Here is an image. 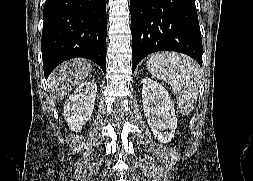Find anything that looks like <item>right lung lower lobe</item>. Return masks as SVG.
Segmentation results:
<instances>
[{
    "mask_svg": "<svg viewBox=\"0 0 253 181\" xmlns=\"http://www.w3.org/2000/svg\"><path fill=\"white\" fill-rule=\"evenodd\" d=\"M106 0H46L42 32L45 77L71 58L96 62L106 72Z\"/></svg>",
    "mask_w": 253,
    "mask_h": 181,
    "instance_id": "obj_1",
    "label": "right lung lower lobe"
}]
</instances>
